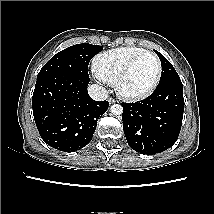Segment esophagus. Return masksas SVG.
Segmentation results:
<instances>
[{"label":"esophagus","mask_w":214,"mask_h":214,"mask_svg":"<svg viewBox=\"0 0 214 214\" xmlns=\"http://www.w3.org/2000/svg\"><path fill=\"white\" fill-rule=\"evenodd\" d=\"M116 102H117L116 99H114V98H109V103H110V104H113V103H116Z\"/></svg>","instance_id":"1"}]
</instances>
